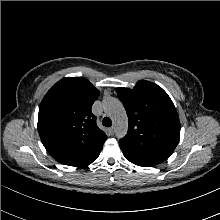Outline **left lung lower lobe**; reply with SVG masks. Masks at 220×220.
Segmentation results:
<instances>
[{
  "label": "left lung lower lobe",
  "mask_w": 220,
  "mask_h": 220,
  "mask_svg": "<svg viewBox=\"0 0 220 220\" xmlns=\"http://www.w3.org/2000/svg\"><path fill=\"white\" fill-rule=\"evenodd\" d=\"M123 154L127 160H129L131 163H133L135 165L144 166V167L155 166V164L151 163L150 161L143 160V159H141L137 156H134L132 154H129L125 151H123Z\"/></svg>",
  "instance_id": "obj_1"
}]
</instances>
